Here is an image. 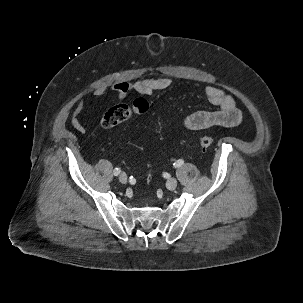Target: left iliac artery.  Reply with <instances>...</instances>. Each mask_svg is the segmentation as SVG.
Here are the masks:
<instances>
[{
	"label": "left iliac artery",
	"instance_id": "44dca946",
	"mask_svg": "<svg viewBox=\"0 0 303 303\" xmlns=\"http://www.w3.org/2000/svg\"><path fill=\"white\" fill-rule=\"evenodd\" d=\"M183 164H184V160H183V159H179V160H177V161L173 164V166H174L175 168H178V167H181Z\"/></svg>",
	"mask_w": 303,
	"mask_h": 303
}]
</instances>
